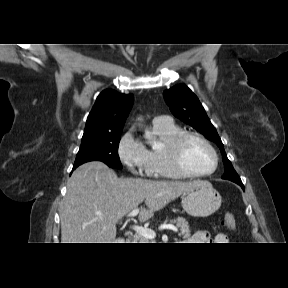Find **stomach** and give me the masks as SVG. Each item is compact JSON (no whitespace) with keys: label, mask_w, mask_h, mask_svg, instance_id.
<instances>
[{"label":"stomach","mask_w":288,"mask_h":288,"mask_svg":"<svg viewBox=\"0 0 288 288\" xmlns=\"http://www.w3.org/2000/svg\"><path fill=\"white\" fill-rule=\"evenodd\" d=\"M222 198L207 181H198L195 186L182 196V207L193 217H207L221 206Z\"/></svg>","instance_id":"stomach-1"}]
</instances>
